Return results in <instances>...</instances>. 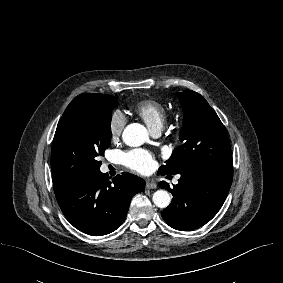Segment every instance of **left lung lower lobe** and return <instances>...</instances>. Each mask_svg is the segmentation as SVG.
<instances>
[{
  "mask_svg": "<svg viewBox=\"0 0 283 283\" xmlns=\"http://www.w3.org/2000/svg\"><path fill=\"white\" fill-rule=\"evenodd\" d=\"M180 175L178 184L173 185V188L164 181L159 183L161 188L173 195L171 204L163 210L162 216L172 228L190 231L209 222L220 210L228 195L233 171H188Z\"/></svg>",
  "mask_w": 283,
  "mask_h": 283,
  "instance_id": "0a47b994",
  "label": "left lung lower lobe"
}]
</instances>
